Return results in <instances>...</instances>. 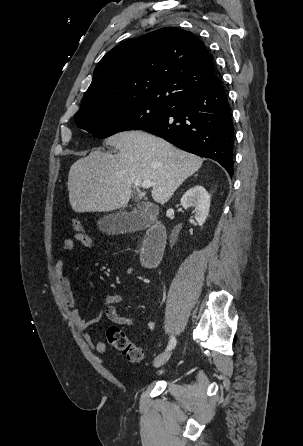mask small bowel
I'll return each instance as SVG.
<instances>
[{
  "label": "small bowel",
  "mask_w": 303,
  "mask_h": 446,
  "mask_svg": "<svg viewBox=\"0 0 303 446\" xmlns=\"http://www.w3.org/2000/svg\"><path fill=\"white\" fill-rule=\"evenodd\" d=\"M77 242L80 243L86 250L90 251L94 248V242L90 236H82L76 233L66 238L62 242V248L67 251L72 250ZM55 273L64 302L70 310L71 320L78 329L86 330L91 325L97 323L103 316H105L109 321L119 325L132 326L134 324V320L132 318L121 315L116 307V304H119L124 300L121 294H111L106 296L103 302V307L98 311V313L91 319H84L76 306L70 281L65 272L64 262L62 260H59L56 263ZM155 326L156 324L154 321H149L147 324L149 330H154ZM85 340L92 349L99 353H103L106 350V345L104 342L93 338L89 334H85Z\"/></svg>",
  "instance_id": "c3829d8e"
}]
</instances>
